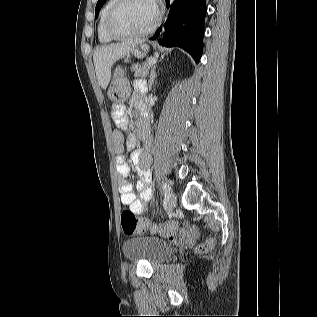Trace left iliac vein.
Here are the masks:
<instances>
[{
    "label": "left iliac vein",
    "mask_w": 317,
    "mask_h": 317,
    "mask_svg": "<svg viewBox=\"0 0 317 317\" xmlns=\"http://www.w3.org/2000/svg\"><path fill=\"white\" fill-rule=\"evenodd\" d=\"M177 204V195L171 191L167 201V210L172 211Z\"/></svg>",
    "instance_id": "left-iliac-vein-1"
}]
</instances>
